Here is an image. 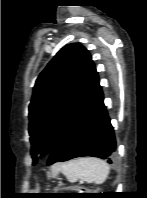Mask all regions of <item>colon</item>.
Returning <instances> with one entry per match:
<instances>
[{"label":"colon","mask_w":147,"mask_h":198,"mask_svg":"<svg viewBox=\"0 0 147 198\" xmlns=\"http://www.w3.org/2000/svg\"><path fill=\"white\" fill-rule=\"evenodd\" d=\"M71 190H75L77 192H83L84 190H87L85 188H70Z\"/></svg>","instance_id":"colon-1"}]
</instances>
